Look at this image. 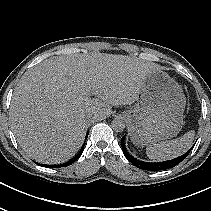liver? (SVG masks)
<instances>
[{
  "label": "liver",
  "instance_id": "6515ba94",
  "mask_svg": "<svg viewBox=\"0 0 211 211\" xmlns=\"http://www.w3.org/2000/svg\"><path fill=\"white\" fill-rule=\"evenodd\" d=\"M156 68L105 53L42 61L24 73L13 92L11 126L18 144L37 162H66L83 144L88 117L103 119L112 105L134 103Z\"/></svg>",
  "mask_w": 211,
  "mask_h": 211
}]
</instances>
